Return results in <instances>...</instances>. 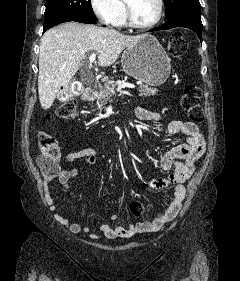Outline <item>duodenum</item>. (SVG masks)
I'll return each instance as SVG.
<instances>
[{
  "instance_id": "1",
  "label": "duodenum",
  "mask_w": 240,
  "mask_h": 281,
  "mask_svg": "<svg viewBox=\"0 0 240 281\" xmlns=\"http://www.w3.org/2000/svg\"><path fill=\"white\" fill-rule=\"evenodd\" d=\"M95 96V92L93 89H89L87 90L84 94H83V101L85 102H90L94 99ZM136 116H138V112L137 110L135 111Z\"/></svg>"
}]
</instances>
